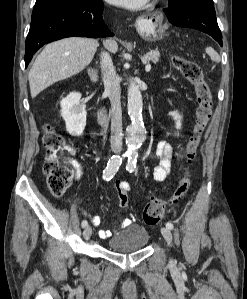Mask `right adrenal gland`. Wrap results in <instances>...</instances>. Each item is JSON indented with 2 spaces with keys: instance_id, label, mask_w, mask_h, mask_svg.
Returning a JSON list of instances; mask_svg holds the SVG:
<instances>
[{
  "instance_id": "1",
  "label": "right adrenal gland",
  "mask_w": 247,
  "mask_h": 299,
  "mask_svg": "<svg viewBox=\"0 0 247 299\" xmlns=\"http://www.w3.org/2000/svg\"><path fill=\"white\" fill-rule=\"evenodd\" d=\"M89 71H90V76H91L92 78H96V77H98V69H96V68H91Z\"/></svg>"
}]
</instances>
